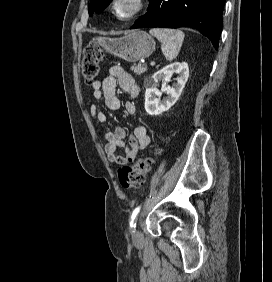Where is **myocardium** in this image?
<instances>
[{
	"label": "myocardium",
	"mask_w": 272,
	"mask_h": 282,
	"mask_svg": "<svg viewBox=\"0 0 272 282\" xmlns=\"http://www.w3.org/2000/svg\"><path fill=\"white\" fill-rule=\"evenodd\" d=\"M123 1L124 0H114L113 3H112L113 13L115 14V16L118 19H120L122 21H130V20L137 18L143 12V10L145 9V1L146 0H132V2L134 4L133 10L129 14L122 16V15L119 14L118 7Z\"/></svg>",
	"instance_id": "myocardium-1"
}]
</instances>
